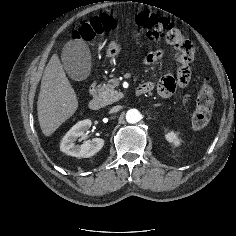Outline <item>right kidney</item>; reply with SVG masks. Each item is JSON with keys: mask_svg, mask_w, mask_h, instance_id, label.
I'll return each mask as SVG.
<instances>
[{"mask_svg": "<svg viewBox=\"0 0 236 236\" xmlns=\"http://www.w3.org/2000/svg\"><path fill=\"white\" fill-rule=\"evenodd\" d=\"M91 120L86 119L75 124L63 137L60 150L67 155L74 157L88 158L99 152L104 146V140L94 138L91 141H85L82 145H76L78 137H83L85 132L91 127Z\"/></svg>", "mask_w": 236, "mask_h": 236, "instance_id": "1", "label": "right kidney"}]
</instances>
